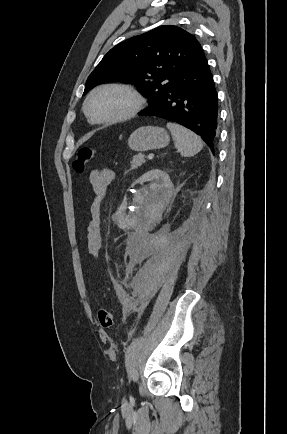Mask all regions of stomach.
<instances>
[{
	"label": "stomach",
	"instance_id": "1",
	"mask_svg": "<svg viewBox=\"0 0 287 434\" xmlns=\"http://www.w3.org/2000/svg\"><path fill=\"white\" fill-rule=\"evenodd\" d=\"M168 133L159 127L146 126L135 130L128 139L129 147L138 152L160 149L169 144Z\"/></svg>",
	"mask_w": 287,
	"mask_h": 434
}]
</instances>
